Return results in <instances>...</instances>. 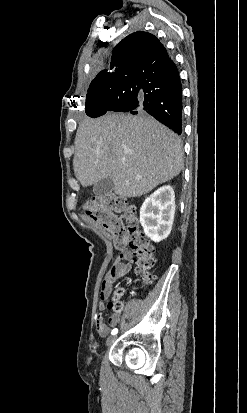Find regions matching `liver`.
<instances>
[{"label": "liver", "instance_id": "liver-1", "mask_svg": "<svg viewBox=\"0 0 247 413\" xmlns=\"http://www.w3.org/2000/svg\"><path fill=\"white\" fill-rule=\"evenodd\" d=\"M180 136L149 116L107 112L78 126L73 160L83 186L112 178L121 198L141 196L183 168Z\"/></svg>", "mask_w": 247, "mask_h": 413}]
</instances>
